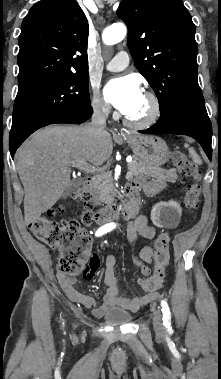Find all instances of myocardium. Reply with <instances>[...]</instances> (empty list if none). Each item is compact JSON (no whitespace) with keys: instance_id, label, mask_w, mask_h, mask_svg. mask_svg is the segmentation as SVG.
<instances>
[{"instance_id":"1","label":"myocardium","mask_w":221,"mask_h":379,"mask_svg":"<svg viewBox=\"0 0 221 379\" xmlns=\"http://www.w3.org/2000/svg\"><path fill=\"white\" fill-rule=\"evenodd\" d=\"M144 96L150 103V111L146 117L139 120H133L126 116L124 121L130 127L140 129L148 128L155 124L161 115V103L158 96L152 91H146Z\"/></svg>"}]
</instances>
